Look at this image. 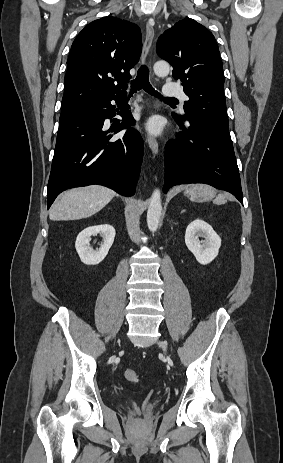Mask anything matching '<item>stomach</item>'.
Wrapping results in <instances>:
<instances>
[{
  "label": "stomach",
  "instance_id": "obj_1",
  "mask_svg": "<svg viewBox=\"0 0 283 463\" xmlns=\"http://www.w3.org/2000/svg\"><path fill=\"white\" fill-rule=\"evenodd\" d=\"M213 188L207 185L199 184L187 187L184 194L193 201H206L210 198Z\"/></svg>",
  "mask_w": 283,
  "mask_h": 463
}]
</instances>
